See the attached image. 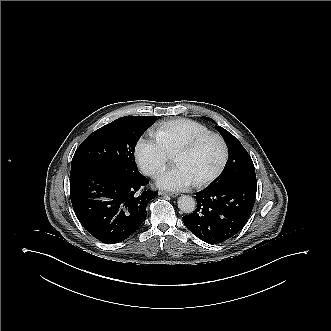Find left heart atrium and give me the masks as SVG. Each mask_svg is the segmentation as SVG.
I'll list each match as a JSON object with an SVG mask.
<instances>
[{"label":"left heart atrium","instance_id":"left-heart-atrium-1","mask_svg":"<svg viewBox=\"0 0 331 331\" xmlns=\"http://www.w3.org/2000/svg\"><path fill=\"white\" fill-rule=\"evenodd\" d=\"M157 183L167 190H187L193 186L194 179L182 167H174L160 174Z\"/></svg>","mask_w":331,"mask_h":331}]
</instances>
